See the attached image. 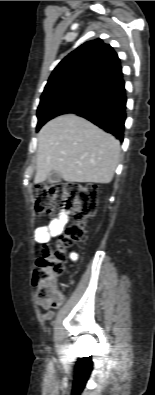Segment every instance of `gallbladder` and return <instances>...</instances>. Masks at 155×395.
<instances>
[{
	"label": "gallbladder",
	"instance_id": "1",
	"mask_svg": "<svg viewBox=\"0 0 155 395\" xmlns=\"http://www.w3.org/2000/svg\"><path fill=\"white\" fill-rule=\"evenodd\" d=\"M62 177L59 173L52 171L48 177H47V182L50 184H56L61 181Z\"/></svg>",
	"mask_w": 155,
	"mask_h": 395
}]
</instances>
